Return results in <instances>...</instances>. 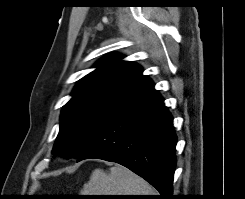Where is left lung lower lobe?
<instances>
[{
	"label": "left lung lower lobe",
	"instance_id": "obj_1",
	"mask_svg": "<svg viewBox=\"0 0 245 199\" xmlns=\"http://www.w3.org/2000/svg\"><path fill=\"white\" fill-rule=\"evenodd\" d=\"M173 118L152 83L112 117L77 161L98 158L135 172L170 199L176 166Z\"/></svg>",
	"mask_w": 245,
	"mask_h": 199
}]
</instances>
